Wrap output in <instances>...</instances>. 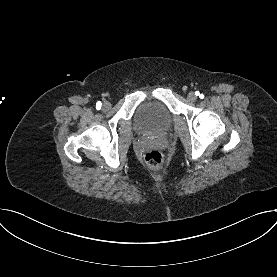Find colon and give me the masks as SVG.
Instances as JSON below:
<instances>
[{
	"mask_svg": "<svg viewBox=\"0 0 277 277\" xmlns=\"http://www.w3.org/2000/svg\"><path fill=\"white\" fill-rule=\"evenodd\" d=\"M144 160L148 166L155 169H160L165 164V156L158 150L148 151L144 156Z\"/></svg>",
	"mask_w": 277,
	"mask_h": 277,
	"instance_id": "1",
	"label": "colon"
}]
</instances>
